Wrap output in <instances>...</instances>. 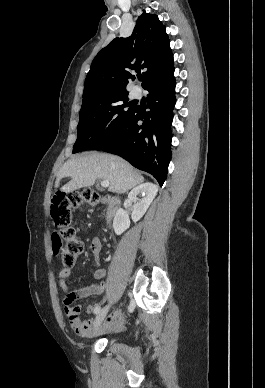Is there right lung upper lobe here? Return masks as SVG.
I'll use <instances>...</instances> for the list:
<instances>
[{
	"mask_svg": "<svg viewBox=\"0 0 265 388\" xmlns=\"http://www.w3.org/2000/svg\"><path fill=\"white\" fill-rule=\"evenodd\" d=\"M144 70L145 88L174 72L165 26L158 16L143 12L128 38H115L94 58L85 80L83 98L105 90H126L132 71Z\"/></svg>",
	"mask_w": 265,
	"mask_h": 388,
	"instance_id": "1",
	"label": "right lung upper lobe"
}]
</instances>
